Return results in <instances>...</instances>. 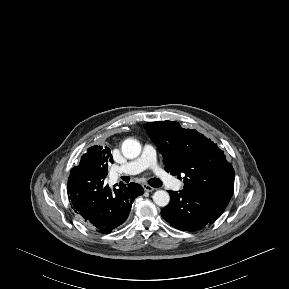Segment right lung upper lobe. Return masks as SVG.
I'll list each match as a JSON object with an SVG mask.
<instances>
[{
	"instance_id": "right-lung-upper-lobe-1",
	"label": "right lung upper lobe",
	"mask_w": 289,
	"mask_h": 289,
	"mask_svg": "<svg viewBox=\"0 0 289 289\" xmlns=\"http://www.w3.org/2000/svg\"><path fill=\"white\" fill-rule=\"evenodd\" d=\"M109 162H114L110 149L108 147L95 145L87 149V153L81 157L79 166L74 168L100 177L101 171L105 167L108 169ZM99 164L101 165L99 166Z\"/></svg>"
}]
</instances>
